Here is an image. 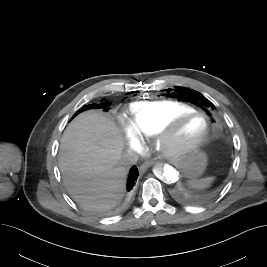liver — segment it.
Wrapping results in <instances>:
<instances>
[{"label": "liver", "mask_w": 267, "mask_h": 267, "mask_svg": "<svg viewBox=\"0 0 267 267\" xmlns=\"http://www.w3.org/2000/svg\"><path fill=\"white\" fill-rule=\"evenodd\" d=\"M124 142L114 123L98 111L78 115L64 132L59 168L68 192L89 210L115 207L125 190Z\"/></svg>", "instance_id": "obj_1"}]
</instances>
